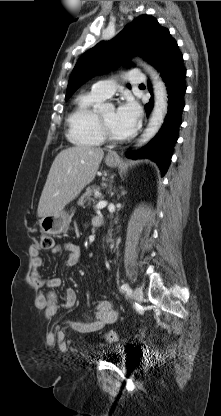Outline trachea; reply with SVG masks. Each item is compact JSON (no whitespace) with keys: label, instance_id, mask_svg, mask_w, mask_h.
I'll return each instance as SVG.
<instances>
[{"label":"trachea","instance_id":"obj_1","mask_svg":"<svg viewBox=\"0 0 221 416\" xmlns=\"http://www.w3.org/2000/svg\"><path fill=\"white\" fill-rule=\"evenodd\" d=\"M139 86L141 87V86H145V85L144 84H140Z\"/></svg>","mask_w":221,"mask_h":416}]
</instances>
